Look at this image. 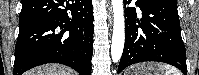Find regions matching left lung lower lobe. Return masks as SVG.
<instances>
[{
    "label": "left lung lower lobe",
    "mask_w": 199,
    "mask_h": 75,
    "mask_svg": "<svg viewBox=\"0 0 199 75\" xmlns=\"http://www.w3.org/2000/svg\"><path fill=\"white\" fill-rule=\"evenodd\" d=\"M136 5L142 11L140 20L134 7L125 10V46L118 73L135 63L158 61L171 64L187 75L177 1L137 0Z\"/></svg>",
    "instance_id": "0a47b994"
}]
</instances>
